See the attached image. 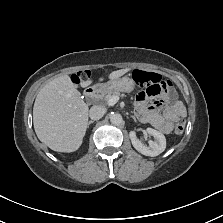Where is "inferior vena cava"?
<instances>
[{
	"label": "inferior vena cava",
	"mask_w": 223,
	"mask_h": 223,
	"mask_svg": "<svg viewBox=\"0 0 223 223\" xmlns=\"http://www.w3.org/2000/svg\"><path fill=\"white\" fill-rule=\"evenodd\" d=\"M104 114H105V108L97 105L92 106L89 111V116L93 120H98L102 118Z\"/></svg>",
	"instance_id": "1"
}]
</instances>
